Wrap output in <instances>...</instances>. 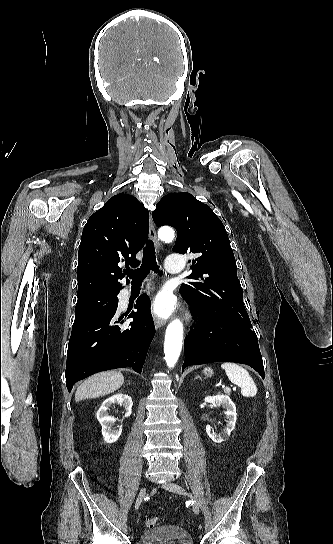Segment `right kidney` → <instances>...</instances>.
I'll use <instances>...</instances> for the list:
<instances>
[{
  "label": "right kidney",
  "mask_w": 333,
  "mask_h": 544,
  "mask_svg": "<svg viewBox=\"0 0 333 544\" xmlns=\"http://www.w3.org/2000/svg\"><path fill=\"white\" fill-rule=\"evenodd\" d=\"M120 404L125 410V417H129L132 411V399L128 395L115 394L102 403L101 407L97 411V419L102 426V435L106 443H113L118 440L122 432V425H118V429H112L111 427L116 422V419L109 416L108 410L113 404Z\"/></svg>",
  "instance_id": "obj_1"
}]
</instances>
